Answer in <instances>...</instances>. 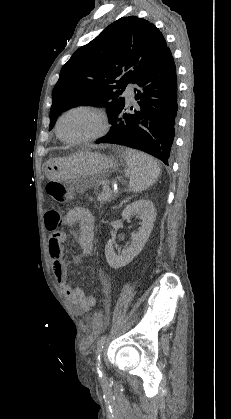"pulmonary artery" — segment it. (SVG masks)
<instances>
[{
	"instance_id": "1",
	"label": "pulmonary artery",
	"mask_w": 231,
	"mask_h": 419,
	"mask_svg": "<svg viewBox=\"0 0 231 419\" xmlns=\"http://www.w3.org/2000/svg\"><path fill=\"white\" fill-rule=\"evenodd\" d=\"M134 88L135 85L133 83H129L124 91V95L128 101H132L134 99Z\"/></svg>"
}]
</instances>
